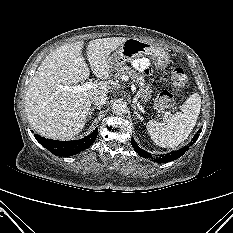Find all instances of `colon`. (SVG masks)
<instances>
[{
    "mask_svg": "<svg viewBox=\"0 0 233 233\" xmlns=\"http://www.w3.org/2000/svg\"><path fill=\"white\" fill-rule=\"evenodd\" d=\"M172 85L176 91L183 90L187 85V76L182 68H175L171 75ZM175 104L174 96L168 91H162L157 99L156 106L160 111H166Z\"/></svg>",
    "mask_w": 233,
    "mask_h": 233,
    "instance_id": "1",
    "label": "colon"
}]
</instances>
